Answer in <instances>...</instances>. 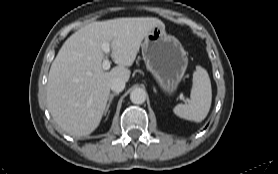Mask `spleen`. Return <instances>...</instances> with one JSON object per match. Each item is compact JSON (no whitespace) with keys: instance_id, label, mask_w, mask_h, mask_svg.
Listing matches in <instances>:
<instances>
[{"instance_id":"spleen-1","label":"spleen","mask_w":278,"mask_h":174,"mask_svg":"<svg viewBox=\"0 0 278 174\" xmlns=\"http://www.w3.org/2000/svg\"><path fill=\"white\" fill-rule=\"evenodd\" d=\"M212 101L211 82L207 71L198 67L193 74V84L188 104H178L174 113L184 119L201 122L210 110Z\"/></svg>"}]
</instances>
